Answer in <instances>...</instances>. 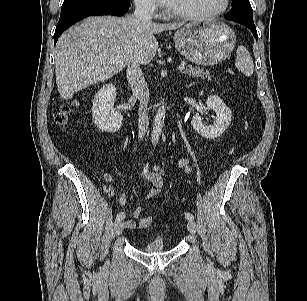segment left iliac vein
Listing matches in <instances>:
<instances>
[{
    "mask_svg": "<svg viewBox=\"0 0 307 301\" xmlns=\"http://www.w3.org/2000/svg\"><path fill=\"white\" fill-rule=\"evenodd\" d=\"M187 229L191 234L196 233V224L193 220H189L187 223Z\"/></svg>",
    "mask_w": 307,
    "mask_h": 301,
    "instance_id": "1",
    "label": "left iliac vein"
}]
</instances>
